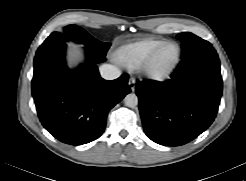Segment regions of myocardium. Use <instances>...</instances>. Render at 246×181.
Returning <instances> with one entry per match:
<instances>
[{"mask_svg":"<svg viewBox=\"0 0 246 181\" xmlns=\"http://www.w3.org/2000/svg\"><path fill=\"white\" fill-rule=\"evenodd\" d=\"M171 46H174L177 51L174 61L167 69L164 70L157 69L156 63L160 55L164 50H166L168 47ZM181 56H182V52L178 44L175 42H168L158 47L140 66L143 68V70L149 77L165 79L170 77L173 74V72L176 70V68L178 67L181 61Z\"/></svg>","mask_w":246,"mask_h":181,"instance_id":"obj_1","label":"myocardium"}]
</instances>
